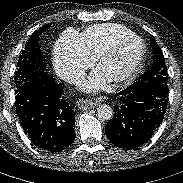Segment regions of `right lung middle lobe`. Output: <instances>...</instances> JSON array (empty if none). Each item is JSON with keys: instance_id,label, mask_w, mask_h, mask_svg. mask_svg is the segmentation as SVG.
I'll use <instances>...</instances> for the list:
<instances>
[{"instance_id": "obj_1", "label": "right lung middle lobe", "mask_w": 183, "mask_h": 183, "mask_svg": "<svg viewBox=\"0 0 183 183\" xmlns=\"http://www.w3.org/2000/svg\"><path fill=\"white\" fill-rule=\"evenodd\" d=\"M49 27L50 24H47L33 32L25 48L21 51L15 73L16 88L28 80L48 74L39 40L42 33Z\"/></svg>"}]
</instances>
